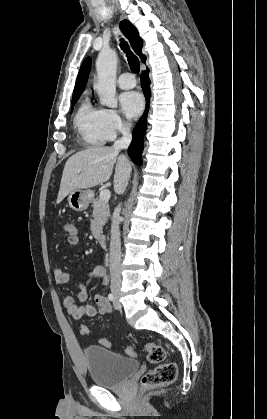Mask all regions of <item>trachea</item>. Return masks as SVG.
<instances>
[{
    "mask_svg": "<svg viewBox=\"0 0 267 419\" xmlns=\"http://www.w3.org/2000/svg\"><path fill=\"white\" fill-rule=\"evenodd\" d=\"M120 46L121 49L126 53L130 69L133 73L138 74L140 71L139 59L135 55H133V53L129 49L127 42H125L123 39H121Z\"/></svg>",
    "mask_w": 267,
    "mask_h": 419,
    "instance_id": "obj_1",
    "label": "trachea"
}]
</instances>
